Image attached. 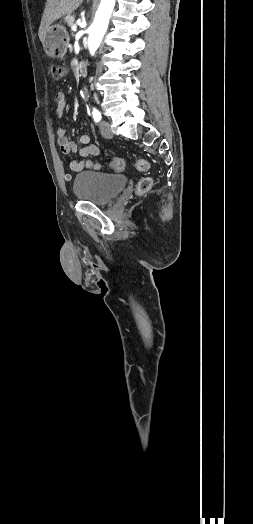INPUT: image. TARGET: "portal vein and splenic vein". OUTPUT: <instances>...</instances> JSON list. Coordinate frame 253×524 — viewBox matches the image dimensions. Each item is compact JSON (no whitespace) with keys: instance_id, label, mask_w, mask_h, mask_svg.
Listing matches in <instances>:
<instances>
[{"instance_id":"1","label":"portal vein and splenic vein","mask_w":253,"mask_h":524,"mask_svg":"<svg viewBox=\"0 0 253 524\" xmlns=\"http://www.w3.org/2000/svg\"><path fill=\"white\" fill-rule=\"evenodd\" d=\"M72 30H73V31H76V30H77V25H76V24H74V25L72 26Z\"/></svg>"}]
</instances>
